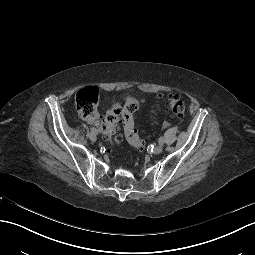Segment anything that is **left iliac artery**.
I'll return each mask as SVG.
<instances>
[{"mask_svg": "<svg viewBox=\"0 0 255 255\" xmlns=\"http://www.w3.org/2000/svg\"><path fill=\"white\" fill-rule=\"evenodd\" d=\"M158 142L160 145H163L164 143V138L161 136L159 139H158Z\"/></svg>", "mask_w": 255, "mask_h": 255, "instance_id": "44dca946", "label": "left iliac artery"}]
</instances>
